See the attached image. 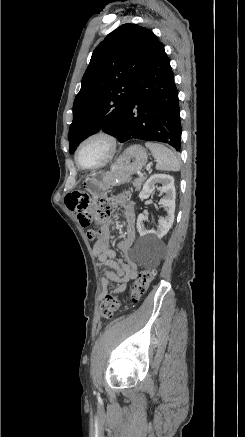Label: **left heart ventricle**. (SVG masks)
<instances>
[{"instance_id":"left-heart-ventricle-1","label":"left heart ventricle","mask_w":245,"mask_h":437,"mask_svg":"<svg viewBox=\"0 0 245 437\" xmlns=\"http://www.w3.org/2000/svg\"><path fill=\"white\" fill-rule=\"evenodd\" d=\"M108 144L103 139H93L87 142L80 150L79 160L84 166L99 163L108 153Z\"/></svg>"}]
</instances>
